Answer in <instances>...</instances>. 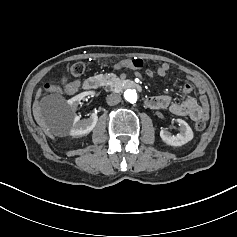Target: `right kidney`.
Masks as SVG:
<instances>
[{
	"label": "right kidney",
	"instance_id": "1",
	"mask_svg": "<svg viewBox=\"0 0 237 237\" xmlns=\"http://www.w3.org/2000/svg\"><path fill=\"white\" fill-rule=\"evenodd\" d=\"M90 94L91 92L77 95L73 97L72 99H70L68 101V104L70 105L72 110L75 111L77 107L79 106V104L81 103V100L86 95H90ZM80 118L81 116H77V115L73 117L72 126L69 131V135L71 137H81V136L89 134L90 132H92V130L95 128L98 122V117L95 115L83 120H81Z\"/></svg>",
	"mask_w": 237,
	"mask_h": 237
}]
</instances>
